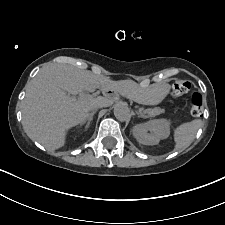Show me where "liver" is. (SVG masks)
<instances>
[{
  "mask_svg": "<svg viewBox=\"0 0 225 225\" xmlns=\"http://www.w3.org/2000/svg\"><path fill=\"white\" fill-rule=\"evenodd\" d=\"M101 89L105 97L76 98L70 95L83 94ZM115 90L140 104H146L147 92L129 88L119 82L81 70L66 64H51L42 67L27 84L22 104V124L27 136L54 151L65 145L67 131L87 120L90 108L103 101L106 106L112 99L106 94Z\"/></svg>",
  "mask_w": 225,
  "mask_h": 225,
  "instance_id": "1",
  "label": "liver"
}]
</instances>
